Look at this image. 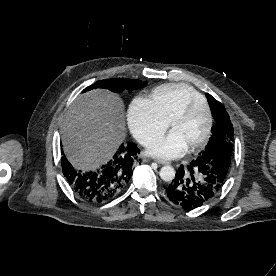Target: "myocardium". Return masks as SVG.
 <instances>
[{"label": "myocardium", "instance_id": "f54148a6", "mask_svg": "<svg viewBox=\"0 0 276 276\" xmlns=\"http://www.w3.org/2000/svg\"><path fill=\"white\" fill-rule=\"evenodd\" d=\"M199 108L204 109L207 114V127L203 137L196 144L188 148L189 152H196L201 150L208 143L211 137L214 118L210 106L205 101H193L189 103L186 107H184L182 110H180L177 114H175L170 120V127L172 128L174 123L189 118Z\"/></svg>", "mask_w": 276, "mask_h": 276}]
</instances>
